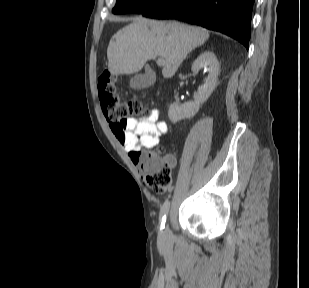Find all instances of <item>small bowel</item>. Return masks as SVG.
Segmentation results:
<instances>
[{
    "label": "small bowel",
    "mask_w": 309,
    "mask_h": 288,
    "mask_svg": "<svg viewBox=\"0 0 309 288\" xmlns=\"http://www.w3.org/2000/svg\"><path fill=\"white\" fill-rule=\"evenodd\" d=\"M113 134L118 139L120 145L129 155L140 151L141 148H153L160 137L167 133L168 124L159 120V111L153 109L148 116L129 118L124 122L111 123ZM172 164L175 158L170 157Z\"/></svg>",
    "instance_id": "small-bowel-1"
}]
</instances>
